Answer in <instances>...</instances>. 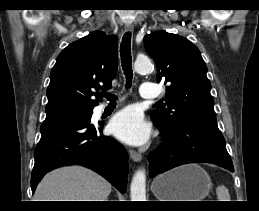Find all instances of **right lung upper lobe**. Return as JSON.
<instances>
[{
	"mask_svg": "<svg viewBox=\"0 0 259 211\" xmlns=\"http://www.w3.org/2000/svg\"><path fill=\"white\" fill-rule=\"evenodd\" d=\"M117 66L114 36L96 31L68 45L50 73L44 122L92 112L101 100L93 90L111 88Z\"/></svg>",
	"mask_w": 259,
	"mask_h": 211,
	"instance_id": "cb5924a9",
	"label": "right lung upper lobe"
}]
</instances>
